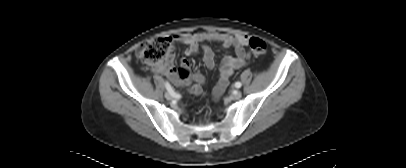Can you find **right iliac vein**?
Listing matches in <instances>:
<instances>
[{"mask_svg":"<svg viewBox=\"0 0 406 168\" xmlns=\"http://www.w3.org/2000/svg\"><path fill=\"white\" fill-rule=\"evenodd\" d=\"M165 98L167 99V100H172V95L169 93V92H166L165 93Z\"/></svg>","mask_w":406,"mask_h":168,"instance_id":"obj_1","label":"right iliac vein"}]
</instances>
